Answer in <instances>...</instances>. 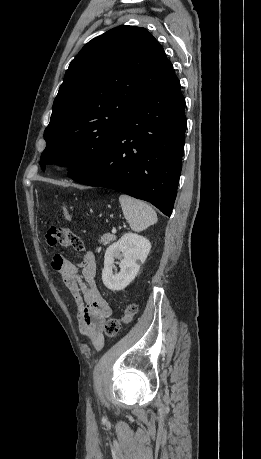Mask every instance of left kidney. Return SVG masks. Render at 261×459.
I'll use <instances>...</instances> for the list:
<instances>
[{
    "mask_svg": "<svg viewBox=\"0 0 261 459\" xmlns=\"http://www.w3.org/2000/svg\"><path fill=\"white\" fill-rule=\"evenodd\" d=\"M151 249L148 239L134 233L124 234L117 242L111 244L104 256L102 281L111 291L125 289L137 276L140 265L145 262ZM119 259L120 272L115 269L114 260Z\"/></svg>",
    "mask_w": 261,
    "mask_h": 459,
    "instance_id": "5707ae66",
    "label": "left kidney"
}]
</instances>
